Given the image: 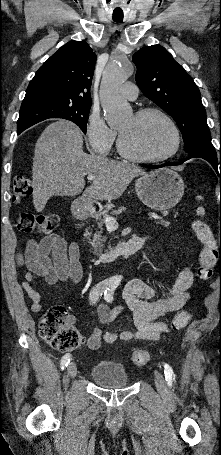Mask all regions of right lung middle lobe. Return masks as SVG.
<instances>
[{"label": "right lung middle lobe", "instance_id": "right-lung-middle-lobe-1", "mask_svg": "<svg viewBox=\"0 0 221 455\" xmlns=\"http://www.w3.org/2000/svg\"><path fill=\"white\" fill-rule=\"evenodd\" d=\"M91 103L83 102H39L21 105L17 121V133L48 118H63L77 124L86 133Z\"/></svg>", "mask_w": 221, "mask_h": 455}]
</instances>
